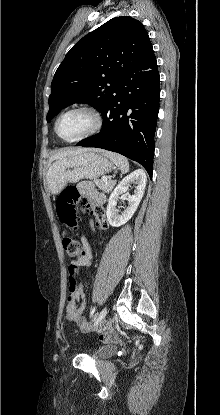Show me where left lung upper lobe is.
<instances>
[{
  "label": "left lung upper lobe",
  "mask_w": 220,
  "mask_h": 415,
  "mask_svg": "<svg viewBox=\"0 0 220 415\" xmlns=\"http://www.w3.org/2000/svg\"><path fill=\"white\" fill-rule=\"evenodd\" d=\"M154 55L148 33L132 17H116L77 42L55 72L47 120L79 102L102 111L116 81Z\"/></svg>",
  "instance_id": "obj_1"
}]
</instances>
